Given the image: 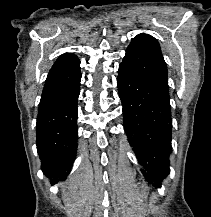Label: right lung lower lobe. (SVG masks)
I'll use <instances>...</instances> for the list:
<instances>
[{
  "label": "right lung lower lobe",
  "instance_id": "right-lung-lower-lobe-1",
  "mask_svg": "<svg viewBox=\"0 0 211 217\" xmlns=\"http://www.w3.org/2000/svg\"><path fill=\"white\" fill-rule=\"evenodd\" d=\"M81 73L63 86L44 91L36 125L42 170L54 184L65 179L77 149V101Z\"/></svg>",
  "mask_w": 211,
  "mask_h": 217
}]
</instances>
